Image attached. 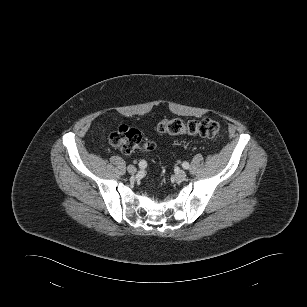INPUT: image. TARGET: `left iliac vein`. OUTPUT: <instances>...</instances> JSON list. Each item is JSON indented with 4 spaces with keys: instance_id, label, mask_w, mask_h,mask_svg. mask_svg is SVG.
<instances>
[{
    "instance_id": "1",
    "label": "left iliac vein",
    "mask_w": 307,
    "mask_h": 307,
    "mask_svg": "<svg viewBox=\"0 0 307 307\" xmlns=\"http://www.w3.org/2000/svg\"><path fill=\"white\" fill-rule=\"evenodd\" d=\"M187 177V174L184 170H179L175 173L176 181H184Z\"/></svg>"
}]
</instances>
